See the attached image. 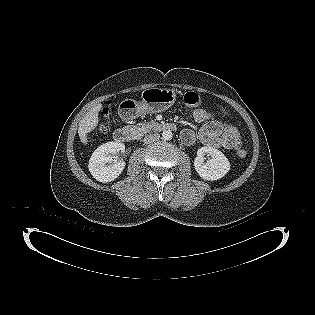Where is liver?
<instances>
[{"mask_svg": "<svg viewBox=\"0 0 315 315\" xmlns=\"http://www.w3.org/2000/svg\"><path fill=\"white\" fill-rule=\"evenodd\" d=\"M101 108L102 104L96 105L80 121L78 133L83 144H87L88 142L87 134L97 127L99 122L98 115Z\"/></svg>", "mask_w": 315, "mask_h": 315, "instance_id": "obj_1", "label": "liver"}]
</instances>
